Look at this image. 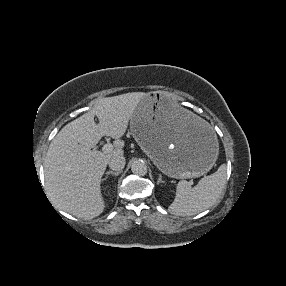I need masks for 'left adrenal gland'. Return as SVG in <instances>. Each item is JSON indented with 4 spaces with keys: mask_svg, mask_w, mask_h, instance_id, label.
I'll return each instance as SVG.
<instances>
[{
    "mask_svg": "<svg viewBox=\"0 0 286 286\" xmlns=\"http://www.w3.org/2000/svg\"><path fill=\"white\" fill-rule=\"evenodd\" d=\"M157 183L159 184V183H164V181L162 180V176L159 174V178H158V181H157Z\"/></svg>",
    "mask_w": 286,
    "mask_h": 286,
    "instance_id": "obj_1",
    "label": "left adrenal gland"
}]
</instances>
